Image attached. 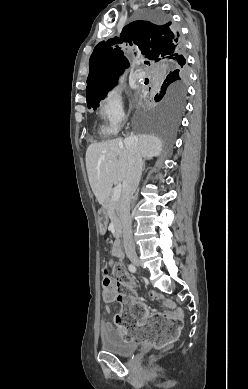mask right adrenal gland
Segmentation results:
<instances>
[{"mask_svg":"<svg viewBox=\"0 0 248 389\" xmlns=\"http://www.w3.org/2000/svg\"><path fill=\"white\" fill-rule=\"evenodd\" d=\"M144 169H145V162L143 163V171H144Z\"/></svg>","mask_w":248,"mask_h":389,"instance_id":"obj_1","label":"right adrenal gland"}]
</instances>
